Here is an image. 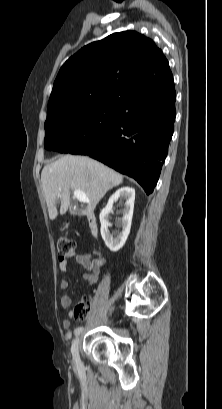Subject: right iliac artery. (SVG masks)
Masks as SVG:
<instances>
[{
  "label": "right iliac artery",
  "mask_w": 222,
  "mask_h": 409,
  "mask_svg": "<svg viewBox=\"0 0 222 409\" xmlns=\"http://www.w3.org/2000/svg\"><path fill=\"white\" fill-rule=\"evenodd\" d=\"M82 330H83V327L77 328V329L75 330V335H76V336L79 335V334L82 332Z\"/></svg>",
  "instance_id": "obj_1"
}]
</instances>
